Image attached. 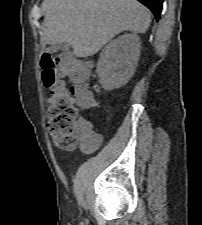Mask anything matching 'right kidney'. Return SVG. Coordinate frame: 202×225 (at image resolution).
<instances>
[{"mask_svg": "<svg viewBox=\"0 0 202 225\" xmlns=\"http://www.w3.org/2000/svg\"><path fill=\"white\" fill-rule=\"evenodd\" d=\"M140 55V39L124 34L102 49L97 63L99 82L104 90L124 86L133 76Z\"/></svg>", "mask_w": 202, "mask_h": 225, "instance_id": "ca27d5eb", "label": "right kidney"}]
</instances>
